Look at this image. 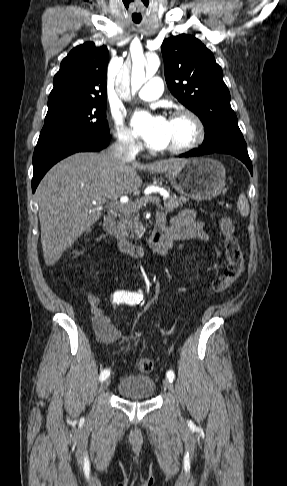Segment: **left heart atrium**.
Listing matches in <instances>:
<instances>
[{
	"instance_id": "left-heart-atrium-1",
	"label": "left heart atrium",
	"mask_w": 287,
	"mask_h": 486,
	"mask_svg": "<svg viewBox=\"0 0 287 486\" xmlns=\"http://www.w3.org/2000/svg\"><path fill=\"white\" fill-rule=\"evenodd\" d=\"M132 127L145 144L153 149H163L167 143L169 120L160 115H152L146 111L134 114Z\"/></svg>"
}]
</instances>
